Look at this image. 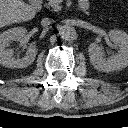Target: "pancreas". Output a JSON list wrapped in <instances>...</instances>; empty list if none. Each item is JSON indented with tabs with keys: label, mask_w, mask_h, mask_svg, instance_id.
Returning <instances> with one entry per match:
<instances>
[{
	"label": "pancreas",
	"mask_w": 128,
	"mask_h": 128,
	"mask_svg": "<svg viewBox=\"0 0 128 128\" xmlns=\"http://www.w3.org/2000/svg\"><path fill=\"white\" fill-rule=\"evenodd\" d=\"M62 0H48V5L54 10V11H60L61 10V3Z\"/></svg>",
	"instance_id": "cf45deb5"
}]
</instances>
